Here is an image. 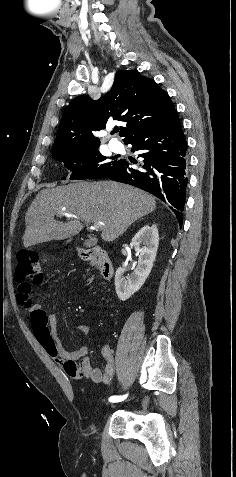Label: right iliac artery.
Instances as JSON below:
<instances>
[{"label": "right iliac artery", "mask_w": 236, "mask_h": 477, "mask_svg": "<svg viewBox=\"0 0 236 477\" xmlns=\"http://www.w3.org/2000/svg\"><path fill=\"white\" fill-rule=\"evenodd\" d=\"M128 394L123 396H111L108 400V403L111 405L121 404L122 402L126 401Z\"/></svg>", "instance_id": "82829eb1"}]
</instances>
